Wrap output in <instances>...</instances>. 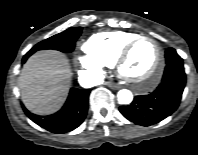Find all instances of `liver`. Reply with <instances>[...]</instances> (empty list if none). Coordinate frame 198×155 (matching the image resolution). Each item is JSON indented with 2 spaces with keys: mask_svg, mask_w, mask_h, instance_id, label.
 I'll list each match as a JSON object with an SVG mask.
<instances>
[{
  "mask_svg": "<svg viewBox=\"0 0 198 155\" xmlns=\"http://www.w3.org/2000/svg\"><path fill=\"white\" fill-rule=\"evenodd\" d=\"M67 57L56 51H39L31 56L19 76L25 107L38 115L56 112L64 103L71 85Z\"/></svg>",
  "mask_w": 198,
  "mask_h": 155,
  "instance_id": "obj_1",
  "label": "liver"
}]
</instances>
